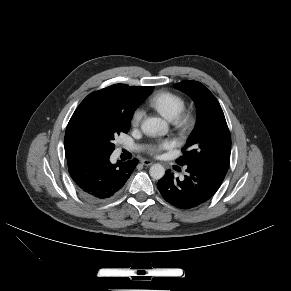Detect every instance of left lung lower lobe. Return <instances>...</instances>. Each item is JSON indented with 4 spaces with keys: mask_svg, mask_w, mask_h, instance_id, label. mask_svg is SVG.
I'll use <instances>...</instances> for the list:
<instances>
[{
    "mask_svg": "<svg viewBox=\"0 0 291 291\" xmlns=\"http://www.w3.org/2000/svg\"><path fill=\"white\" fill-rule=\"evenodd\" d=\"M183 180L174 178L170 170L157 187L171 205L190 209L208 201L221 186L227 172L201 164L187 165Z\"/></svg>",
    "mask_w": 291,
    "mask_h": 291,
    "instance_id": "0a47b994",
    "label": "left lung lower lobe"
}]
</instances>
